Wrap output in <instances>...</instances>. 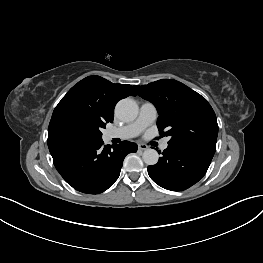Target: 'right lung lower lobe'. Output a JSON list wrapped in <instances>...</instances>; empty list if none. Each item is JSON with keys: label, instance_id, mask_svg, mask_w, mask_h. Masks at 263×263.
I'll list each match as a JSON object with an SVG mask.
<instances>
[{"label": "right lung lower lobe", "instance_id": "right-lung-lower-lobe-1", "mask_svg": "<svg viewBox=\"0 0 263 263\" xmlns=\"http://www.w3.org/2000/svg\"><path fill=\"white\" fill-rule=\"evenodd\" d=\"M137 148L135 143L122 141L111 149L101 139L50 153L57 171L69 185L83 193L99 194L118 179L125 156Z\"/></svg>", "mask_w": 263, "mask_h": 263}]
</instances>
